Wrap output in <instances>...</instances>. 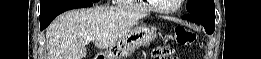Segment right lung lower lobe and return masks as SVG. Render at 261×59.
<instances>
[{
	"label": "right lung lower lobe",
	"mask_w": 261,
	"mask_h": 59,
	"mask_svg": "<svg viewBox=\"0 0 261 59\" xmlns=\"http://www.w3.org/2000/svg\"><path fill=\"white\" fill-rule=\"evenodd\" d=\"M92 1L89 0H69L64 2L46 12L43 15H40V30H44L49 24L53 21V19L59 14L75 8H84L91 7Z\"/></svg>",
	"instance_id": "obj_1"
}]
</instances>
